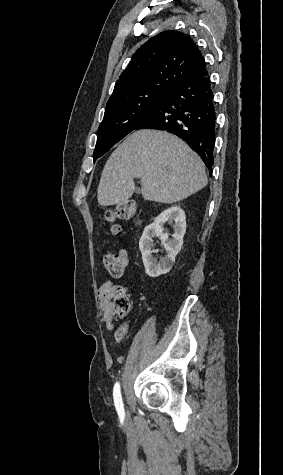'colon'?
Wrapping results in <instances>:
<instances>
[{
  "label": "colon",
  "mask_w": 283,
  "mask_h": 475,
  "mask_svg": "<svg viewBox=\"0 0 283 475\" xmlns=\"http://www.w3.org/2000/svg\"><path fill=\"white\" fill-rule=\"evenodd\" d=\"M138 217L136 204L133 200L120 203L103 213V219L112 223V233L120 234V227L115 224L116 220H134ZM102 263L112 278L122 277L127 264V253L121 249L118 251L105 252L102 255ZM105 304L113 306L116 317H127L131 312V302L126 288L119 287L114 297L105 299Z\"/></svg>",
  "instance_id": "5ec220e1"
}]
</instances>
